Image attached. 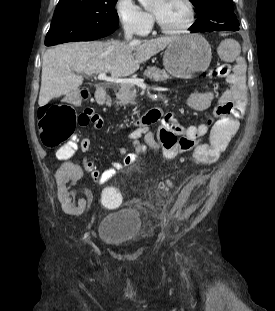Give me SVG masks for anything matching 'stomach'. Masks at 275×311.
<instances>
[{"label": "stomach", "instance_id": "0dacf381", "mask_svg": "<svg viewBox=\"0 0 275 311\" xmlns=\"http://www.w3.org/2000/svg\"><path fill=\"white\" fill-rule=\"evenodd\" d=\"M212 59L209 43L199 34L176 37L167 46L163 65L176 78L191 79L207 70Z\"/></svg>", "mask_w": 275, "mask_h": 311}]
</instances>
